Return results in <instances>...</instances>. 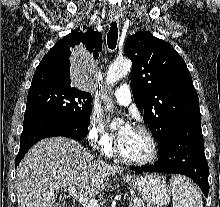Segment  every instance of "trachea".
I'll return each instance as SVG.
<instances>
[{"instance_id":"trachea-1","label":"trachea","mask_w":220,"mask_h":207,"mask_svg":"<svg viewBox=\"0 0 220 207\" xmlns=\"http://www.w3.org/2000/svg\"><path fill=\"white\" fill-rule=\"evenodd\" d=\"M118 39V27L116 22L110 24V30L107 34V43L110 49H115Z\"/></svg>"}]
</instances>
